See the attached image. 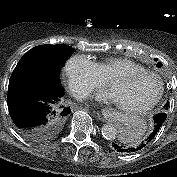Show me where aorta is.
Returning <instances> with one entry per match:
<instances>
[{
  "label": "aorta",
  "instance_id": "aorta-1",
  "mask_svg": "<svg viewBox=\"0 0 177 177\" xmlns=\"http://www.w3.org/2000/svg\"><path fill=\"white\" fill-rule=\"evenodd\" d=\"M117 128L114 124L108 123L102 127V135L108 140H114L117 136Z\"/></svg>",
  "mask_w": 177,
  "mask_h": 177
}]
</instances>
